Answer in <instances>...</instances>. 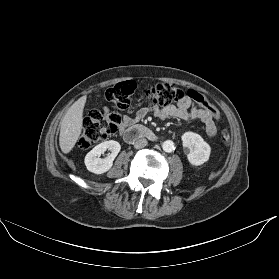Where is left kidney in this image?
I'll list each match as a JSON object with an SVG mask.
<instances>
[{"instance_id":"5707ae66","label":"left kidney","mask_w":279,"mask_h":279,"mask_svg":"<svg viewBox=\"0 0 279 279\" xmlns=\"http://www.w3.org/2000/svg\"><path fill=\"white\" fill-rule=\"evenodd\" d=\"M181 139L184 152L192 165L199 166L209 160L211 147L199 134L188 131Z\"/></svg>"}]
</instances>
